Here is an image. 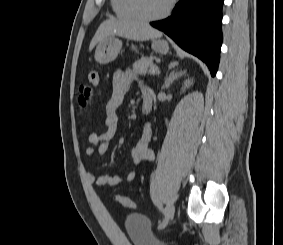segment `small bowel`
Returning <instances> with one entry per match:
<instances>
[{"instance_id":"small-bowel-1","label":"small bowel","mask_w":283,"mask_h":245,"mask_svg":"<svg viewBox=\"0 0 283 245\" xmlns=\"http://www.w3.org/2000/svg\"><path fill=\"white\" fill-rule=\"evenodd\" d=\"M137 79L134 71L130 69L117 70L112 79V94L106 104V120L104 132L91 133L88 136V141L92 145L86 149L88 156H101L107 152L110 146V141L114 138L118 128L117 109L123 103L124 97L131 85ZM85 85V84H82ZM95 89L89 95L90 105L93 102ZM150 94L147 89H143V95ZM152 138V128L150 124H146L141 138L132 148L130 160L133 167L139 166L143 161H152L154 153L149 148ZM136 177L135 169H130L127 172L110 176V175H95L92 172L86 173V178L96 186H116L124 181L131 182Z\"/></svg>"}]
</instances>
